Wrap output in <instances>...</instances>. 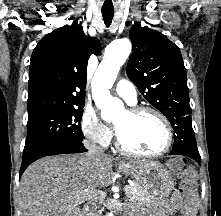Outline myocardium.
<instances>
[{
  "instance_id": "obj_1",
  "label": "myocardium",
  "mask_w": 221,
  "mask_h": 216,
  "mask_svg": "<svg viewBox=\"0 0 221 216\" xmlns=\"http://www.w3.org/2000/svg\"><path fill=\"white\" fill-rule=\"evenodd\" d=\"M128 112L134 116L136 115H141V114H145V113H149L152 114L154 116H156L163 124L165 131H166V142L164 147L156 152H150V153H143V152H139L136 151L128 146H126L120 136L119 133L117 131V129L115 128V135H116V146L117 148L130 156H135V157H143V158H156L159 157L163 154H165L167 151H169V149L171 148L172 144H173V130L171 127L170 122L168 121V119L157 109L150 107V106H135L132 107L128 110Z\"/></svg>"
}]
</instances>
